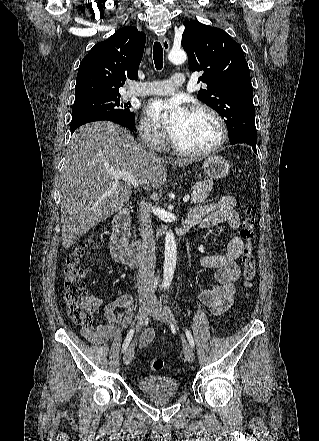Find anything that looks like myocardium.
<instances>
[{
  "label": "myocardium",
  "mask_w": 319,
  "mask_h": 441,
  "mask_svg": "<svg viewBox=\"0 0 319 441\" xmlns=\"http://www.w3.org/2000/svg\"><path fill=\"white\" fill-rule=\"evenodd\" d=\"M198 111L207 113L215 120V122L217 123L218 128H219L218 140L212 146H210L208 148L201 149V150H189V149H185V148L180 147L172 137L170 140L172 149L178 154H181L184 156H194V157L207 156V155H210V154L216 152L218 149H220L227 140L228 130H227V126H226V123H225L223 117L215 109H213L212 107H210L206 104H201V103L193 104L189 108V112H198Z\"/></svg>",
  "instance_id": "myocardium-1"
}]
</instances>
